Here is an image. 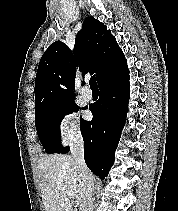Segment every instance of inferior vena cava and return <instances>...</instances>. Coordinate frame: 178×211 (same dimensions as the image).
Returning <instances> with one entry per match:
<instances>
[{
    "label": "inferior vena cava",
    "instance_id": "1",
    "mask_svg": "<svg viewBox=\"0 0 178 211\" xmlns=\"http://www.w3.org/2000/svg\"><path fill=\"white\" fill-rule=\"evenodd\" d=\"M70 151L83 184L84 198L80 205V211H93L94 181L84 160V143L80 133L73 137Z\"/></svg>",
    "mask_w": 178,
    "mask_h": 211
}]
</instances>
